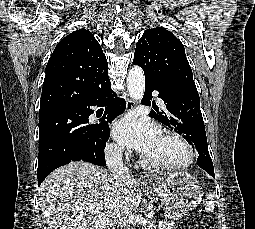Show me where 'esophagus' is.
Returning a JSON list of instances; mask_svg holds the SVG:
<instances>
[{"label": "esophagus", "instance_id": "obj_1", "mask_svg": "<svg viewBox=\"0 0 255 229\" xmlns=\"http://www.w3.org/2000/svg\"><path fill=\"white\" fill-rule=\"evenodd\" d=\"M135 105H136V103H135L134 100H132L130 98L127 99L126 108H127L128 111L132 110L135 107ZM138 181H139L140 184L145 185V186H152L153 185L152 182L144 176H140L138 178Z\"/></svg>", "mask_w": 255, "mask_h": 229}]
</instances>
